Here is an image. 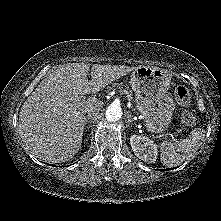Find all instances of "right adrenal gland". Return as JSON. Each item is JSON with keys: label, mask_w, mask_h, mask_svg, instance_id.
I'll return each mask as SVG.
<instances>
[{"label": "right adrenal gland", "mask_w": 221, "mask_h": 221, "mask_svg": "<svg viewBox=\"0 0 221 221\" xmlns=\"http://www.w3.org/2000/svg\"><path fill=\"white\" fill-rule=\"evenodd\" d=\"M91 118V116H86L85 120H84V126H86L89 123V119Z\"/></svg>", "instance_id": "2a0ac1e0"}]
</instances>
